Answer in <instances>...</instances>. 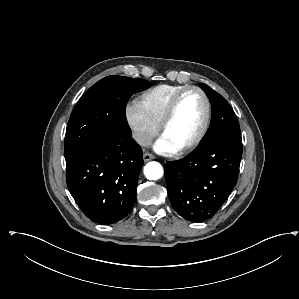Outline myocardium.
<instances>
[{
    "instance_id": "myocardium-1",
    "label": "myocardium",
    "mask_w": 299,
    "mask_h": 299,
    "mask_svg": "<svg viewBox=\"0 0 299 299\" xmlns=\"http://www.w3.org/2000/svg\"><path fill=\"white\" fill-rule=\"evenodd\" d=\"M190 91H195L201 95V97L204 101V106H205L204 118H203L202 124H201L198 132L196 133V135L185 145L178 148L177 151L180 153H184V152H187V151L193 149L203 140L204 136L207 133V130L210 125V120H211V104H210V100H209L207 94L201 88H199L197 86H186L185 88L180 90L173 97L170 104L168 105V107L160 121V124H159L160 134L163 135L165 129L167 128V126L169 125L171 120L173 119V117L177 111V108H178L181 98L187 92H190Z\"/></svg>"
}]
</instances>
